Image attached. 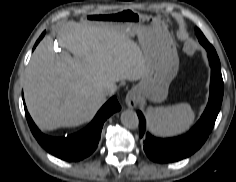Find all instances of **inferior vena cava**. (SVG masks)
Returning a JSON list of instances; mask_svg holds the SVG:
<instances>
[{
	"label": "inferior vena cava",
	"instance_id": "obj_1",
	"mask_svg": "<svg viewBox=\"0 0 236 182\" xmlns=\"http://www.w3.org/2000/svg\"><path fill=\"white\" fill-rule=\"evenodd\" d=\"M114 92H115L114 89L110 86H107V87L103 88L102 91H101L103 96L113 95Z\"/></svg>",
	"mask_w": 236,
	"mask_h": 182
}]
</instances>
